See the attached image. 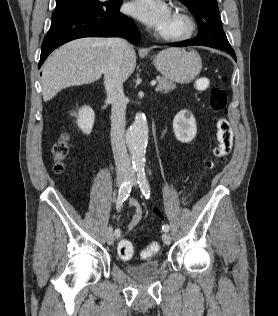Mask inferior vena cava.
Here are the masks:
<instances>
[{
    "label": "inferior vena cava",
    "instance_id": "1",
    "mask_svg": "<svg viewBox=\"0 0 278 316\" xmlns=\"http://www.w3.org/2000/svg\"><path fill=\"white\" fill-rule=\"evenodd\" d=\"M111 56L104 71V84L111 109V145L118 173L130 172L132 167L124 140L127 99L123 91L120 66L129 44L122 38L110 39Z\"/></svg>",
    "mask_w": 278,
    "mask_h": 316
}]
</instances>
